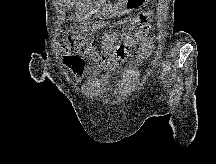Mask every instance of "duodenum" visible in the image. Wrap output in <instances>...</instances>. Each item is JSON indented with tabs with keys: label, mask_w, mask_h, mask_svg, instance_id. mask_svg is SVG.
I'll list each match as a JSON object with an SVG mask.
<instances>
[{
	"label": "duodenum",
	"mask_w": 216,
	"mask_h": 164,
	"mask_svg": "<svg viewBox=\"0 0 216 164\" xmlns=\"http://www.w3.org/2000/svg\"><path fill=\"white\" fill-rule=\"evenodd\" d=\"M96 3H100L99 0H97Z\"/></svg>",
	"instance_id": "1"
}]
</instances>
